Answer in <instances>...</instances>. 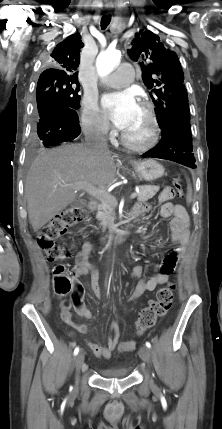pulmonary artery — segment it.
I'll use <instances>...</instances> for the list:
<instances>
[{"label":"pulmonary artery","instance_id":"e3ab8cb5","mask_svg":"<svg viewBox=\"0 0 222 429\" xmlns=\"http://www.w3.org/2000/svg\"><path fill=\"white\" fill-rule=\"evenodd\" d=\"M134 74L133 65L123 63L115 72L104 79V83L114 88L124 87L133 80Z\"/></svg>","mask_w":222,"mask_h":429}]
</instances>
